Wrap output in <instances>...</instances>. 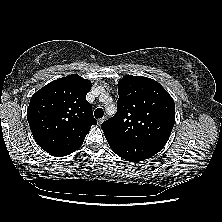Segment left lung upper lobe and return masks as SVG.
Here are the masks:
<instances>
[{
	"mask_svg": "<svg viewBox=\"0 0 222 222\" xmlns=\"http://www.w3.org/2000/svg\"><path fill=\"white\" fill-rule=\"evenodd\" d=\"M117 113L101 128L105 136L131 144L164 147L175 123V104L157 81L126 75L118 82Z\"/></svg>",
	"mask_w": 222,
	"mask_h": 222,
	"instance_id": "obj_1",
	"label": "left lung upper lobe"
}]
</instances>
